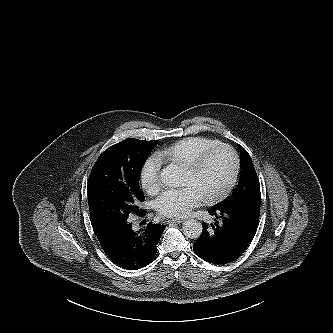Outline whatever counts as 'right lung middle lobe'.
Listing matches in <instances>:
<instances>
[{
    "instance_id": "dd1d6c3e",
    "label": "right lung middle lobe",
    "mask_w": 333,
    "mask_h": 333,
    "mask_svg": "<svg viewBox=\"0 0 333 333\" xmlns=\"http://www.w3.org/2000/svg\"><path fill=\"white\" fill-rule=\"evenodd\" d=\"M157 141L125 139L105 150L97 159L87 185L93 228L106 223H124L141 210L145 201L140 190L142 165Z\"/></svg>"
}]
</instances>
